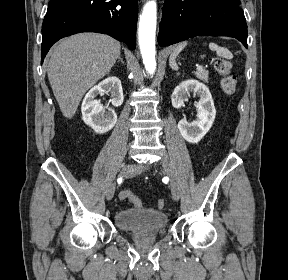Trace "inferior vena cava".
<instances>
[{
  "instance_id": "602c4592",
  "label": "inferior vena cava",
  "mask_w": 288,
  "mask_h": 280,
  "mask_svg": "<svg viewBox=\"0 0 288 280\" xmlns=\"http://www.w3.org/2000/svg\"><path fill=\"white\" fill-rule=\"evenodd\" d=\"M161 158H162V159H169V158H170V155H169V154H162V155H161Z\"/></svg>"
}]
</instances>
